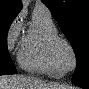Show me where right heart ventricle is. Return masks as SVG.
Returning <instances> with one entry per match:
<instances>
[{
  "instance_id": "right-heart-ventricle-1",
  "label": "right heart ventricle",
  "mask_w": 89,
  "mask_h": 89,
  "mask_svg": "<svg viewBox=\"0 0 89 89\" xmlns=\"http://www.w3.org/2000/svg\"><path fill=\"white\" fill-rule=\"evenodd\" d=\"M58 35L51 15L34 12L18 55L21 67L32 73L63 76L65 71L59 66L53 51V40Z\"/></svg>"
}]
</instances>
